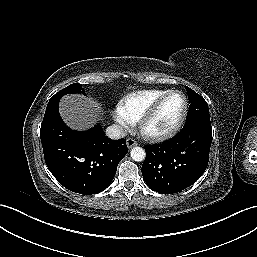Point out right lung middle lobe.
<instances>
[{
	"mask_svg": "<svg viewBox=\"0 0 257 257\" xmlns=\"http://www.w3.org/2000/svg\"><path fill=\"white\" fill-rule=\"evenodd\" d=\"M70 93H82V94H85V90L82 89V85L81 84L74 83V84H71V85L67 86L66 88L60 90L54 96L62 97L63 95L70 94Z\"/></svg>",
	"mask_w": 257,
	"mask_h": 257,
	"instance_id": "right-lung-middle-lobe-1",
	"label": "right lung middle lobe"
}]
</instances>
